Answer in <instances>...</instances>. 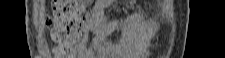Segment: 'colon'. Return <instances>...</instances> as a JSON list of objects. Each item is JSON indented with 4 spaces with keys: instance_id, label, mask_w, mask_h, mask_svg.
Segmentation results:
<instances>
[{
    "instance_id": "5ec220e1",
    "label": "colon",
    "mask_w": 225,
    "mask_h": 58,
    "mask_svg": "<svg viewBox=\"0 0 225 58\" xmlns=\"http://www.w3.org/2000/svg\"><path fill=\"white\" fill-rule=\"evenodd\" d=\"M88 1L55 0L53 16L46 18L51 39L57 44L54 53L57 58H74L73 45L79 38L84 6Z\"/></svg>"
}]
</instances>
